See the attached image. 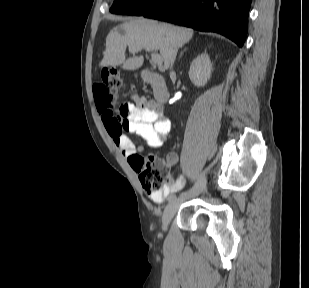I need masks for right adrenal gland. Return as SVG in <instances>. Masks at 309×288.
Returning a JSON list of instances; mask_svg holds the SVG:
<instances>
[{"mask_svg":"<svg viewBox=\"0 0 309 288\" xmlns=\"http://www.w3.org/2000/svg\"><path fill=\"white\" fill-rule=\"evenodd\" d=\"M187 48H185L181 53H180V58H181V56H182V54H183V52L186 50Z\"/></svg>","mask_w":309,"mask_h":288,"instance_id":"2a0ac1e0","label":"right adrenal gland"}]
</instances>
